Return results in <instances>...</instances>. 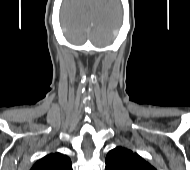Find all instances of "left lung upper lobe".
Wrapping results in <instances>:
<instances>
[{
    "label": "left lung upper lobe",
    "mask_w": 190,
    "mask_h": 170,
    "mask_svg": "<svg viewBox=\"0 0 190 170\" xmlns=\"http://www.w3.org/2000/svg\"><path fill=\"white\" fill-rule=\"evenodd\" d=\"M105 162V170H156L137 153L124 147L109 151Z\"/></svg>",
    "instance_id": "left-lung-upper-lobe-1"
}]
</instances>
